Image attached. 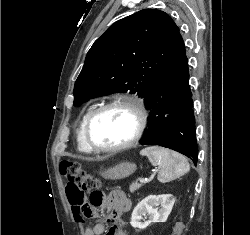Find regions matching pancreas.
I'll use <instances>...</instances> for the list:
<instances>
[{
  "label": "pancreas",
  "instance_id": "1",
  "mask_svg": "<svg viewBox=\"0 0 250 235\" xmlns=\"http://www.w3.org/2000/svg\"><path fill=\"white\" fill-rule=\"evenodd\" d=\"M142 186V184L140 183H137V182H134L130 185L129 189H130V192L133 193L135 192L136 190H138L140 187Z\"/></svg>",
  "mask_w": 250,
  "mask_h": 235
}]
</instances>
